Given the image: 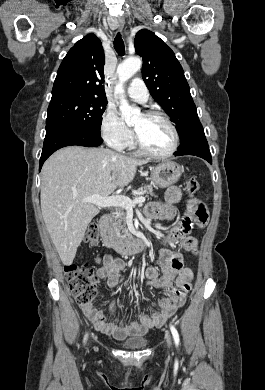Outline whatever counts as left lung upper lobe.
<instances>
[{
	"instance_id": "left-lung-upper-lobe-1",
	"label": "left lung upper lobe",
	"mask_w": 265,
	"mask_h": 390,
	"mask_svg": "<svg viewBox=\"0 0 265 390\" xmlns=\"http://www.w3.org/2000/svg\"><path fill=\"white\" fill-rule=\"evenodd\" d=\"M134 46L143 57V80L175 123L180 138L178 150H183L204 132L183 68L171 48L150 30L138 31Z\"/></svg>"
}]
</instances>
